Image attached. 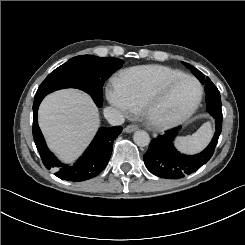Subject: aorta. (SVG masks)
I'll use <instances>...</instances> for the list:
<instances>
[{"mask_svg":"<svg viewBox=\"0 0 245 245\" xmlns=\"http://www.w3.org/2000/svg\"><path fill=\"white\" fill-rule=\"evenodd\" d=\"M133 140L136 145L145 147L150 143V137L146 131L138 130L133 135Z\"/></svg>","mask_w":245,"mask_h":245,"instance_id":"obj_1","label":"aorta"}]
</instances>
